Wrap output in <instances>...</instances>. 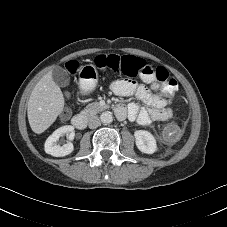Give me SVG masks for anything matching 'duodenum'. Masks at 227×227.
I'll return each instance as SVG.
<instances>
[{
	"instance_id": "1",
	"label": "duodenum",
	"mask_w": 227,
	"mask_h": 227,
	"mask_svg": "<svg viewBox=\"0 0 227 227\" xmlns=\"http://www.w3.org/2000/svg\"><path fill=\"white\" fill-rule=\"evenodd\" d=\"M78 91L80 94H87L91 91V88L87 85L84 80L78 82ZM117 114L121 115L124 113L122 108L117 109ZM72 125L78 130H85L87 128V117L85 115H76L72 118Z\"/></svg>"
}]
</instances>
